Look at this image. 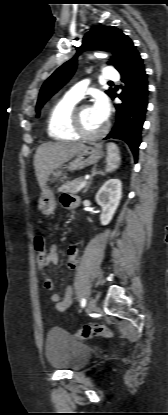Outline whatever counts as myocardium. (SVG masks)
<instances>
[{
	"label": "myocardium",
	"instance_id": "1",
	"mask_svg": "<svg viewBox=\"0 0 168 415\" xmlns=\"http://www.w3.org/2000/svg\"><path fill=\"white\" fill-rule=\"evenodd\" d=\"M86 106H88V105L85 104V103H83V104L76 105L74 107V109L72 111V115H71L73 130L75 131V133L79 137H82V138H85V139H97V138H100V137H102L107 132L108 125L107 124L103 125V127L100 130L96 131V132H88L84 128V126H83V124L81 122V119H80V110L83 107H86Z\"/></svg>",
	"mask_w": 168,
	"mask_h": 415
}]
</instances>
